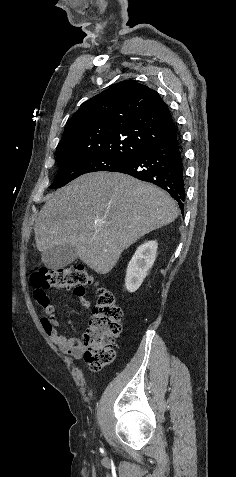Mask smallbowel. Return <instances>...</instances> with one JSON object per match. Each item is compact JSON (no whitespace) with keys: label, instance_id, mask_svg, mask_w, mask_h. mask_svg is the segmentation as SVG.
Wrapping results in <instances>:
<instances>
[{"label":"small bowel","instance_id":"1","mask_svg":"<svg viewBox=\"0 0 236 477\" xmlns=\"http://www.w3.org/2000/svg\"><path fill=\"white\" fill-rule=\"evenodd\" d=\"M76 296L78 297L79 304L82 309L89 307L90 302L84 294H76ZM35 298L45 313V316L41 319L45 333L65 354L73 359H79L85 350L83 343L59 333V321L57 318L56 308L45 292H39Z\"/></svg>","mask_w":236,"mask_h":477}]
</instances>
